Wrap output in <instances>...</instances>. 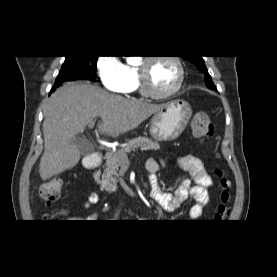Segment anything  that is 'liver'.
<instances>
[{"label":"liver","mask_w":277,"mask_h":277,"mask_svg":"<svg viewBox=\"0 0 277 277\" xmlns=\"http://www.w3.org/2000/svg\"><path fill=\"white\" fill-rule=\"evenodd\" d=\"M161 108L162 105L109 94L87 83H67L60 87L51 95L44 111L41 179L45 181L79 162L81 153L73 138L96 117L101 119L99 133L115 138L137 128Z\"/></svg>","instance_id":"1"}]
</instances>
